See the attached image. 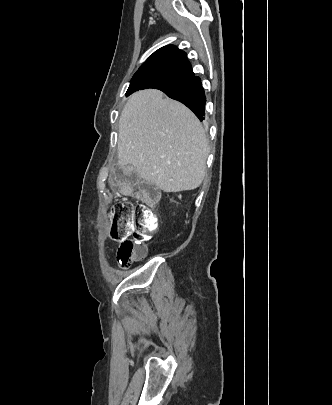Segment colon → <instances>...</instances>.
Instances as JSON below:
<instances>
[{
	"mask_svg": "<svg viewBox=\"0 0 332 405\" xmlns=\"http://www.w3.org/2000/svg\"><path fill=\"white\" fill-rule=\"evenodd\" d=\"M140 195L144 202H119L110 211V236L120 242L117 261L124 268L145 259L147 248L143 239L154 232L159 224L158 216L146 204L157 202L159 191L152 184L144 182Z\"/></svg>",
	"mask_w": 332,
	"mask_h": 405,
	"instance_id": "1",
	"label": "colon"
}]
</instances>
